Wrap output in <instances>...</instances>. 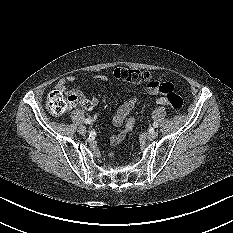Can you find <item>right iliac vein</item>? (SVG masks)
I'll list each match as a JSON object with an SVG mask.
<instances>
[{
    "mask_svg": "<svg viewBox=\"0 0 233 233\" xmlns=\"http://www.w3.org/2000/svg\"><path fill=\"white\" fill-rule=\"evenodd\" d=\"M78 132H79V134H81V135H85L86 132H87V129H86L85 126L81 125V126L78 128Z\"/></svg>",
    "mask_w": 233,
    "mask_h": 233,
    "instance_id": "obj_1",
    "label": "right iliac vein"
}]
</instances>
